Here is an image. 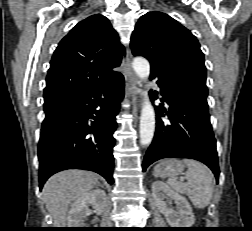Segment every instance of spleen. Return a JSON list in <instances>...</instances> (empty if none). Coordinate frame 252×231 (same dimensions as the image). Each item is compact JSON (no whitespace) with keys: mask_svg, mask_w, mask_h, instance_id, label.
<instances>
[{"mask_svg":"<svg viewBox=\"0 0 252 231\" xmlns=\"http://www.w3.org/2000/svg\"><path fill=\"white\" fill-rule=\"evenodd\" d=\"M183 162L188 166L187 182L169 178L167 183L175 191L187 195L196 208H205L210 204L213 196L212 174L205 165L198 161L184 159Z\"/></svg>","mask_w":252,"mask_h":231,"instance_id":"3e777b00","label":"spleen"}]
</instances>
